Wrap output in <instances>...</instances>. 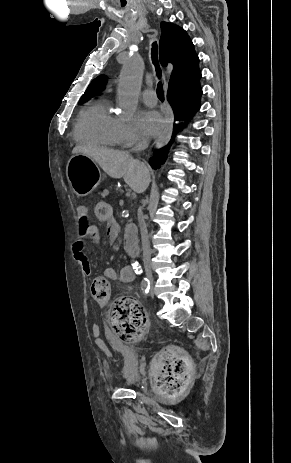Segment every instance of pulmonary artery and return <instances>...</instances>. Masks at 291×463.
<instances>
[{
  "label": "pulmonary artery",
  "instance_id": "obj_1",
  "mask_svg": "<svg viewBox=\"0 0 291 463\" xmlns=\"http://www.w3.org/2000/svg\"><path fill=\"white\" fill-rule=\"evenodd\" d=\"M141 97L143 102L148 106H155L157 104V94L150 88L145 89Z\"/></svg>",
  "mask_w": 291,
  "mask_h": 463
}]
</instances>
